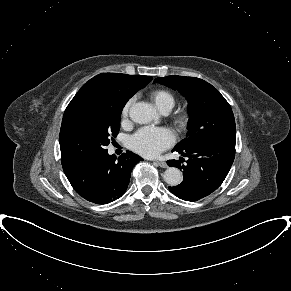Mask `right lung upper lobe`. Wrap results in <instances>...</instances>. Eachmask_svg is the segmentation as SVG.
Here are the masks:
<instances>
[{"label":"right lung upper lobe","mask_w":291,"mask_h":291,"mask_svg":"<svg viewBox=\"0 0 291 291\" xmlns=\"http://www.w3.org/2000/svg\"><path fill=\"white\" fill-rule=\"evenodd\" d=\"M152 77L143 75H127L121 73H102L87 81L69 104L94 92L106 90L122 96L126 102L139 90L145 87ZM74 169H64L69 174Z\"/></svg>","instance_id":"obj_1"}]
</instances>
